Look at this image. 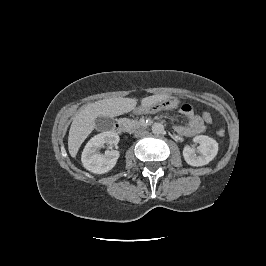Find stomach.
Masks as SVG:
<instances>
[{
    "label": "stomach",
    "instance_id": "0dacf381",
    "mask_svg": "<svg viewBox=\"0 0 266 266\" xmlns=\"http://www.w3.org/2000/svg\"><path fill=\"white\" fill-rule=\"evenodd\" d=\"M175 102V100L171 99V98H167L165 100H162L160 102H156L150 105H142V109L144 112L147 113H155L158 112L161 109L167 108V107H171L173 106V103ZM166 103H168L169 105H166ZM163 104H165L166 106H164Z\"/></svg>",
    "mask_w": 266,
    "mask_h": 266
}]
</instances>
